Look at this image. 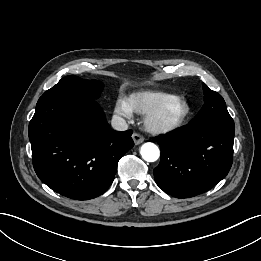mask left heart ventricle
I'll return each instance as SVG.
<instances>
[{
  "mask_svg": "<svg viewBox=\"0 0 261 261\" xmlns=\"http://www.w3.org/2000/svg\"><path fill=\"white\" fill-rule=\"evenodd\" d=\"M177 112V107H172L169 111V115H173Z\"/></svg>",
  "mask_w": 261,
  "mask_h": 261,
  "instance_id": "left-heart-ventricle-1",
  "label": "left heart ventricle"
}]
</instances>
